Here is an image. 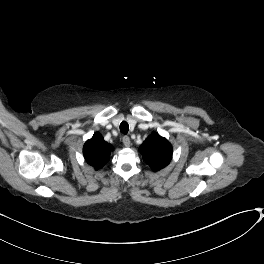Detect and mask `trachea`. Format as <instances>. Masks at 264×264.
I'll list each match as a JSON object with an SVG mask.
<instances>
[{
    "label": "trachea",
    "mask_w": 264,
    "mask_h": 264,
    "mask_svg": "<svg viewBox=\"0 0 264 264\" xmlns=\"http://www.w3.org/2000/svg\"><path fill=\"white\" fill-rule=\"evenodd\" d=\"M129 130V125L127 122L123 121L121 122L120 124V131L123 133V134H126Z\"/></svg>",
    "instance_id": "1"
}]
</instances>
